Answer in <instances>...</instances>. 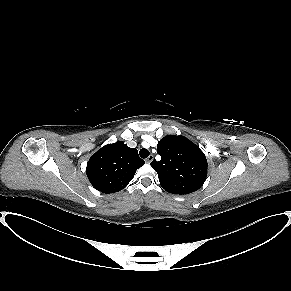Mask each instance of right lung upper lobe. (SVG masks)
I'll list each match as a JSON object with an SVG mask.
<instances>
[{
	"instance_id": "1",
	"label": "right lung upper lobe",
	"mask_w": 291,
	"mask_h": 291,
	"mask_svg": "<svg viewBox=\"0 0 291 291\" xmlns=\"http://www.w3.org/2000/svg\"><path fill=\"white\" fill-rule=\"evenodd\" d=\"M144 163L136 148L119 141L105 145L92 155L86 174L95 189L109 194L124 189Z\"/></svg>"
}]
</instances>
